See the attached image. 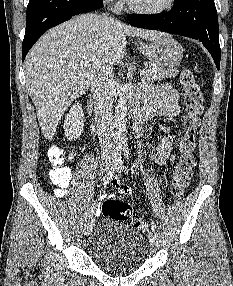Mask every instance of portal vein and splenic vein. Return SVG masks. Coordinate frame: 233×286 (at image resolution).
Listing matches in <instances>:
<instances>
[{
  "instance_id": "1",
  "label": "portal vein and splenic vein",
  "mask_w": 233,
  "mask_h": 286,
  "mask_svg": "<svg viewBox=\"0 0 233 286\" xmlns=\"http://www.w3.org/2000/svg\"><path fill=\"white\" fill-rule=\"evenodd\" d=\"M147 74H148V70H145V69L140 70V75L141 76H144V75H147Z\"/></svg>"
}]
</instances>
